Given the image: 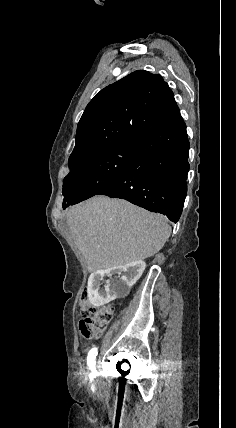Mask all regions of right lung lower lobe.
Wrapping results in <instances>:
<instances>
[{
  "label": "right lung lower lobe",
  "instance_id": "1",
  "mask_svg": "<svg viewBox=\"0 0 236 428\" xmlns=\"http://www.w3.org/2000/svg\"><path fill=\"white\" fill-rule=\"evenodd\" d=\"M126 168L96 195L121 198L177 222L187 194L189 141L178 110L138 139Z\"/></svg>",
  "mask_w": 236,
  "mask_h": 428
}]
</instances>
